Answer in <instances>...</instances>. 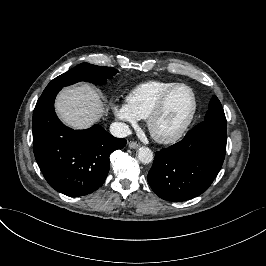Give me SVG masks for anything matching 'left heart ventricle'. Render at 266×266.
<instances>
[{"instance_id":"obj_1","label":"left heart ventricle","mask_w":266,"mask_h":266,"mask_svg":"<svg viewBox=\"0 0 266 266\" xmlns=\"http://www.w3.org/2000/svg\"><path fill=\"white\" fill-rule=\"evenodd\" d=\"M193 104V96L188 88L176 89L168 99L163 112L154 121L155 132L165 136L176 133L189 119Z\"/></svg>"}]
</instances>
